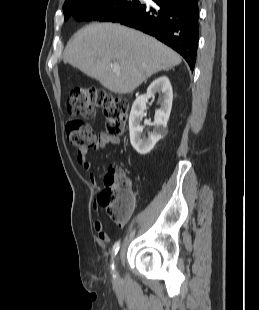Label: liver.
<instances>
[{"instance_id":"1","label":"liver","mask_w":259,"mask_h":310,"mask_svg":"<svg viewBox=\"0 0 259 310\" xmlns=\"http://www.w3.org/2000/svg\"><path fill=\"white\" fill-rule=\"evenodd\" d=\"M64 63L115 94H128L153 74L181 63L175 51L140 31L113 23H93L68 42ZM119 63L120 70L112 67Z\"/></svg>"}]
</instances>
